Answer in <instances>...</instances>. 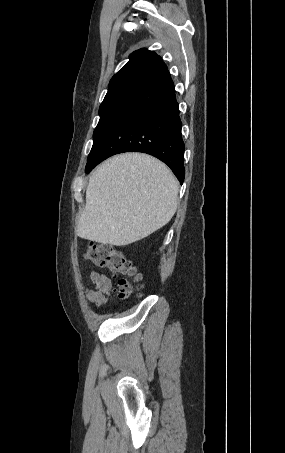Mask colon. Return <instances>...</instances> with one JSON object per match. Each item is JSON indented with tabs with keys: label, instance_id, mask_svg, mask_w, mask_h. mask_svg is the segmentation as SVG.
<instances>
[{
	"label": "colon",
	"instance_id": "obj_1",
	"mask_svg": "<svg viewBox=\"0 0 285 453\" xmlns=\"http://www.w3.org/2000/svg\"><path fill=\"white\" fill-rule=\"evenodd\" d=\"M85 258L95 266L115 274L121 298H128L135 292L134 283L141 280V274L122 252L109 245L91 243L85 252Z\"/></svg>",
	"mask_w": 285,
	"mask_h": 453
}]
</instances>
